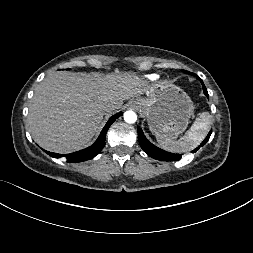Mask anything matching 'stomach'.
<instances>
[{"label": "stomach", "mask_w": 253, "mask_h": 253, "mask_svg": "<svg viewBox=\"0 0 253 253\" xmlns=\"http://www.w3.org/2000/svg\"><path fill=\"white\" fill-rule=\"evenodd\" d=\"M132 104L147 119L154 135L170 139L186 130L194 111L190 97L169 83L153 86L146 98H136Z\"/></svg>", "instance_id": "stomach-1"}]
</instances>
